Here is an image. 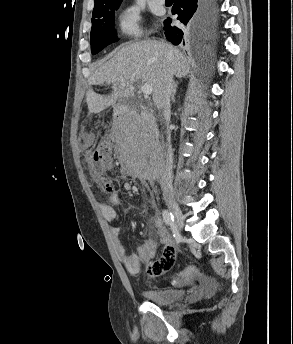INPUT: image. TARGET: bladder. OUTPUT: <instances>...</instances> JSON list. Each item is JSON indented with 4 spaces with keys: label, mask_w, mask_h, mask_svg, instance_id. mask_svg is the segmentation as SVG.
Wrapping results in <instances>:
<instances>
[{
    "label": "bladder",
    "mask_w": 293,
    "mask_h": 344,
    "mask_svg": "<svg viewBox=\"0 0 293 344\" xmlns=\"http://www.w3.org/2000/svg\"><path fill=\"white\" fill-rule=\"evenodd\" d=\"M144 295L150 302L167 305L179 301L184 294L179 289L164 287L146 290Z\"/></svg>",
    "instance_id": "bladder-1"
}]
</instances>
